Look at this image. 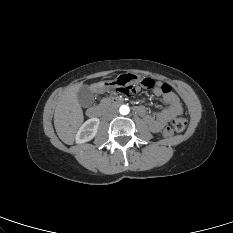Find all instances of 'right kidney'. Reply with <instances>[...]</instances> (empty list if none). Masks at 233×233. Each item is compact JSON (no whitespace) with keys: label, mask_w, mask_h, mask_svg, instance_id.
I'll use <instances>...</instances> for the list:
<instances>
[{"label":"right kidney","mask_w":233,"mask_h":233,"mask_svg":"<svg viewBox=\"0 0 233 233\" xmlns=\"http://www.w3.org/2000/svg\"><path fill=\"white\" fill-rule=\"evenodd\" d=\"M100 120L98 118H91L87 120L79 129L76 134L75 140L76 143L82 144L92 140L96 133Z\"/></svg>","instance_id":"obj_1"}]
</instances>
